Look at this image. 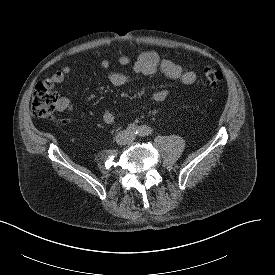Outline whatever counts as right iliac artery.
Returning a JSON list of instances; mask_svg holds the SVG:
<instances>
[{"mask_svg":"<svg viewBox=\"0 0 275 275\" xmlns=\"http://www.w3.org/2000/svg\"><path fill=\"white\" fill-rule=\"evenodd\" d=\"M128 131L132 134H137L138 133V126L135 124H130L128 127Z\"/></svg>","mask_w":275,"mask_h":275,"instance_id":"obj_1","label":"right iliac artery"}]
</instances>
